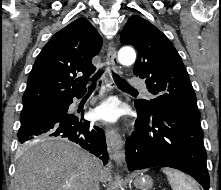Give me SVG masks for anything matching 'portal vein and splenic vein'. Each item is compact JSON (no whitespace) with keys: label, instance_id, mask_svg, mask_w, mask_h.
<instances>
[{"label":"portal vein and splenic vein","instance_id":"1","mask_svg":"<svg viewBox=\"0 0 221 190\" xmlns=\"http://www.w3.org/2000/svg\"><path fill=\"white\" fill-rule=\"evenodd\" d=\"M70 186H71V184L68 183V184H67V187H70Z\"/></svg>","mask_w":221,"mask_h":190}]
</instances>
